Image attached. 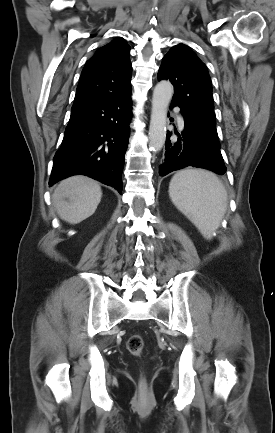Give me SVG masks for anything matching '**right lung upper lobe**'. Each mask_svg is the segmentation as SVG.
I'll return each mask as SVG.
<instances>
[{"label": "right lung upper lobe", "mask_w": 275, "mask_h": 433, "mask_svg": "<svg viewBox=\"0 0 275 433\" xmlns=\"http://www.w3.org/2000/svg\"><path fill=\"white\" fill-rule=\"evenodd\" d=\"M129 51L130 46L120 38L97 50L82 71L72 109L131 92Z\"/></svg>", "instance_id": "cb5924a9"}]
</instances>
